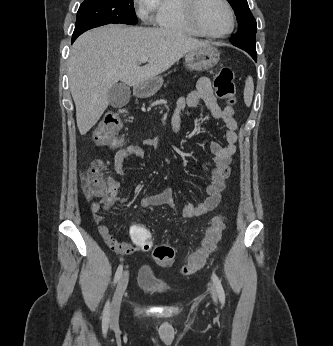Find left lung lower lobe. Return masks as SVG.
Returning a JSON list of instances; mask_svg holds the SVG:
<instances>
[{
    "mask_svg": "<svg viewBox=\"0 0 333 346\" xmlns=\"http://www.w3.org/2000/svg\"><path fill=\"white\" fill-rule=\"evenodd\" d=\"M253 59H254V60L256 61V59H257V56H254V57H253Z\"/></svg>",
    "mask_w": 333,
    "mask_h": 346,
    "instance_id": "1",
    "label": "left lung lower lobe"
}]
</instances>
